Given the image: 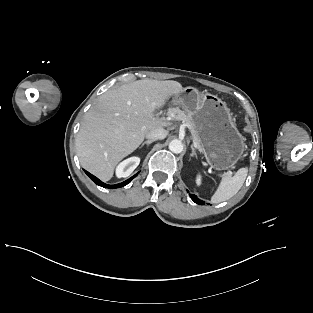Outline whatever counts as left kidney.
Here are the masks:
<instances>
[{"label":"left kidney","instance_id":"1","mask_svg":"<svg viewBox=\"0 0 313 313\" xmlns=\"http://www.w3.org/2000/svg\"><path fill=\"white\" fill-rule=\"evenodd\" d=\"M196 183L197 185L201 184V176H197Z\"/></svg>","mask_w":313,"mask_h":313}]
</instances>
